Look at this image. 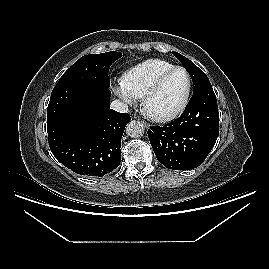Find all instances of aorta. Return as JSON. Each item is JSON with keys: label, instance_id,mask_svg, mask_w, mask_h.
I'll list each match as a JSON object with an SVG mask.
<instances>
[{"label": "aorta", "instance_id": "762f6f07", "mask_svg": "<svg viewBox=\"0 0 269 269\" xmlns=\"http://www.w3.org/2000/svg\"><path fill=\"white\" fill-rule=\"evenodd\" d=\"M145 127L139 121H131L126 126V133L132 138L141 137L144 133Z\"/></svg>", "mask_w": 269, "mask_h": 269}]
</instances>
